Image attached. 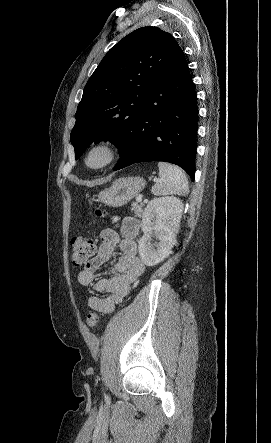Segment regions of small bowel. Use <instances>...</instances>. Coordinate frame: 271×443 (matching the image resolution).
<instances>
[{
	"instance_id": "small-bowel-1",
	"label": "small bowel",
	"mask_w": 271,
	"mask_h": 443,
	"mask_svg": "<svg viewBox=\"0 0 271 443\" xmlns=\"http://www.w3.org/2000/svg\"><path fill=\"white\" fill-rule=\"evenodd\" d=\"M139 231V223L133 218L126 219L121 233L106 228L101 233V243L96 255L90 259L78 273V282L82 286L93 285L97 293L89 298L91 310L110 314L128 294L131 284L141 275L144 265L138 257L135 238ZM118 252V260L113 268L103 266ZM108 275L94 282L97 276Z\"/></svg>"
}]
</instances>
